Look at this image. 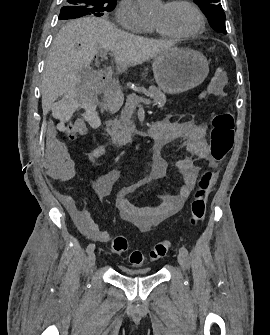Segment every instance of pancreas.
Listing matches in <instances>:
<instances>
[{
	"label": "pancreas",
	"mask_w": 270,
	"mask_h": 335,
	"mask_svg": "<svg viewBox=\"0 0 270 335\" xmlns=\"http://www.w3.org/2000/svg\"><path fill=\"white\" fill-rule=\"evenodd\" d=\"M148 94H153V102L158 104L159 108L165 106L167 102L166 96L161 92L160 88L150 86ZM138 102H140L139 99ZM133 108L134 106H125L124 110H122L120 120L111 122V130H109L108 134L111 136L113 144H116V142H123V140H126L127 136H130V126H132L131 118L132 114H134Z\"/></svg>",
	"instance_id": "pancreas-1"
}]
</instances>
